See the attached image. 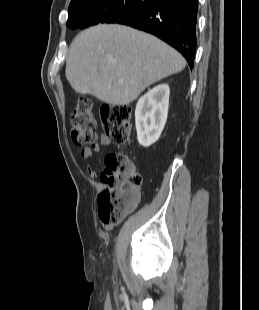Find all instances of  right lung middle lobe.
Wrapping results in <instances>:
<instances>
[{
    "instance_id": "1",
    "label": "right lung middle lobe",
    "mask_w": 259,
    "mask_h": 310,
    "mask_svg": "<svg viewBox=\"0 0 259 310\" xmlns=\"http://www.w3.org/2000/svg\"><path fill=\"white\" fill-rule=\"evenodd\" d=\"M152 0H101L96 3L68 9L67 26L83 29L98 23H117L148 6Z\"/></svg>"
}]
</instances>
